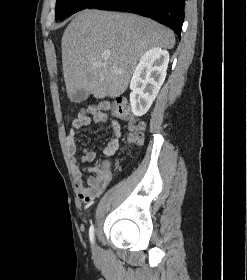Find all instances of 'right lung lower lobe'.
<instances>
[{"mask_svg":"<svg viewBox=\"0 0 247 280\" xmlns=\"http://www.w3.org/2000/svg\"><path fill=\"white\" fill-rule=\"evenodd\" d=\"M89 8L136 13L170 27L179 37L184 21L185 0H98Z\"/></svg>","mask_w":247,"mask_h":280,"instance_id":"1","label":"right lung lower lobe"}]
</instances>
